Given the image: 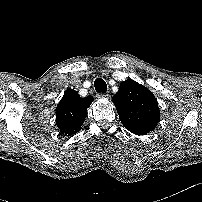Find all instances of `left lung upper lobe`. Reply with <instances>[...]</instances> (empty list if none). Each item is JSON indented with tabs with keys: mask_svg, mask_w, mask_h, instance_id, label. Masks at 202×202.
<instances>
[{
	"mask_svg": "<svg viewBox=\"0 0 202 202\" xmlns=\"http://www.w3.org/2000/svg\"><path fill=\"white\" fill-rule=\"evenodd\" d=\"M120 121L130 132L146 135L160 119V111L153 93L132 79L122 82L112 98Z\"/></svg>",
	"mask_w": 202,
	"mask_h": 202,
	"instance_id": "left-lung-upper-lobe-1",
	"label": "left lung upper lobe"
}]
</instances>
